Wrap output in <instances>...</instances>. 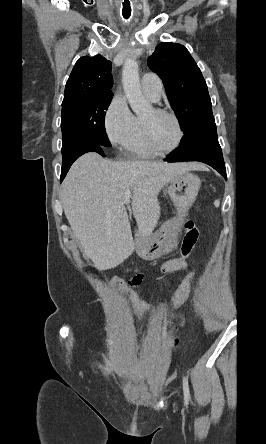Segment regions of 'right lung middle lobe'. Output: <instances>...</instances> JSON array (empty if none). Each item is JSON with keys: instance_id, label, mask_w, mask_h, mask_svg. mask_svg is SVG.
Returning a JSON list of instances; mask_svg holds the SVG:
<instances>
[{"instance_id": "dd1d6c3e", "label": "right lung middle lobe", "mask_w": 266, "mask_h": 444, "mask_svg": "<svg viewBox=\"0 0 266 444\" xmlns=\"http://www.w3.org/2000/svg\"><path fill=\"white\" fill-rule=\"evenodd\" d=\"M112 93L92 95L62 103V158L66 159L85 143L110 147L105 131V114Z\"/></svg>"}]
</instances>
